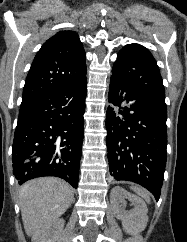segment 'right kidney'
Segmentation results:
<instances>
[{"instance_id": "obj_1", "label": "right kidney", "mask_w": 187, "mask_h": 242, "mask_svg": "<svg viewBox=\"0 0 187 242\" xmlns=\"http://www.w3.org/2000/svg\"><path fill=\"white\" fill-rule=\"evenodd\" d=\"M65 221L57 219L36 234L33 242H56L64 228Z\"/></svg>"}]
</instances>
